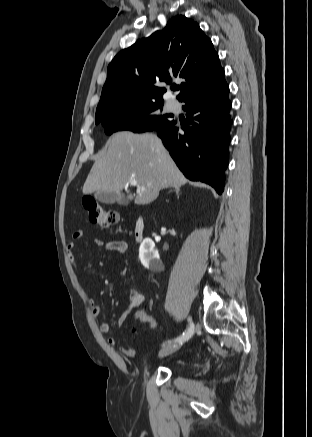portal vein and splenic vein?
<instances>
[{
	"label": "portal vein and splenic vein",
	"instance_id": "1",
	"mask_svg": "<svg viewBox=\"0 0 312 437\" xmlns=\"http://www.w3.org/2000/svg\"><path fill=\"white\" fill-rule=\"evenodd\" d=\"M130 184L133 185V186H137V188H138L139 190H144V189H145V188L142 187V186H138L136 180H131V181H130Z\"/></svg>",
	"mask_w": 312,
	"mask_h": 437
}]
</instances>
